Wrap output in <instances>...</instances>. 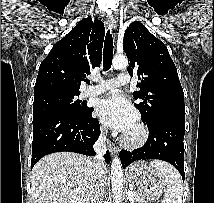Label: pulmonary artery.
<instances>
[{"mask_svg":"<svg viewBox=\"0 0 214 203\" xmlns=\"http://www.w3.org/2000/svg\"><path fill=\"white\" fill-rule=\"evenodd\" d=\"M130 83V77L127 73H120L117 78L102 80L99 84L95 86H89L85 90L86 96H95L104 93L108 90L115 89L122 85H127Z\"/></svg>","mask_w":214,"mask_h":203,"instance_id":"obj_1","label":"pulmonary artery"}]
</instances>
